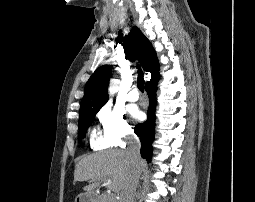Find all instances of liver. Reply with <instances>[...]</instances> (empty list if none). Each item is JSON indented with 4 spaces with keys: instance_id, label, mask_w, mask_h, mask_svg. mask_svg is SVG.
Returning <instances> with one entry per match:
<instances>
[{
    "instance_id": "obj_1",
    "label": "liver",
    "mask_w": 255,
    "mask_h": 202,
    "mask_svg": "<svg viewBox=\"0 0 255 202\" xmlns=\"http://www.w3.org/2000/svg\"><path fill=\"white\" fill-rule=\"evenodd\" d=\"M144 162L141 160L140 169ZM132 163L123 150H108L85 156L76 164L74 182L92 180L93 183L84 187L85 191H92L105 183L115 193L122 191L130 180Z\"/></svg>"
}]
</instances>
